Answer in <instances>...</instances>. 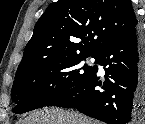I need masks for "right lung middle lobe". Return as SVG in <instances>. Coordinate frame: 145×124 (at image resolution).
<instances>
[{
	"instance_id": "obj_1",
	"label": "right lung middle lobe",
	"mask_w": 145,
	"mask_h": 124,
	"mask_svg": "<svg viewBox=\"0 0 145 124\" xmlns=\"http://www.w3.org/2000/svg\"><path fill=\"white\" fill-rule=\"evenodd\" d=\"M97 55H72L46 60L15 78L11 98L20 114L44 107L57 96L68 91L92 72L93 67L78 64Z\"/></svg>"
}]
</instances>
